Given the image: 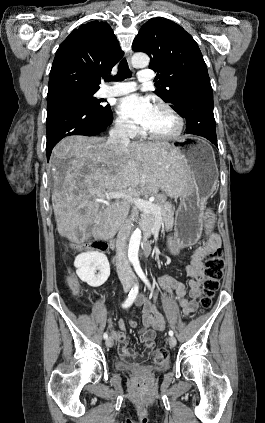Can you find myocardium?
Returning <instances> with one entry per match:
<instances>
[{"instance_id": "obj_1", "label": "myocardium", "mask_w": 265, "mask_h": 423, "mask_svg": "<svg viewBox=\"0 0 265 423\" xmlns=\"http://www.w3.org/2000/svg\"><path fill=\"white\" fill-rule=\"evenodd\" d=\"M156 107L165 110L176 120V123H177L176 130L172 133H169V134H157V133H154V132L147 130L144 127L143 128L144 133L152 139L161 140V141L174 140V139L178 138L179 136H181V134L183 133L184 128H185V121H184L183 117L172 106H170L167 103L159 102V103L156 104Z\"/></svg>"}]
</instances>
